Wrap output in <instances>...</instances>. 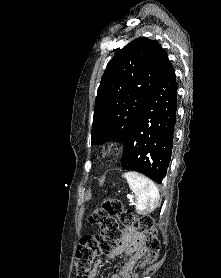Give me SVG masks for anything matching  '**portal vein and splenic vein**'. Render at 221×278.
Returning a JSON list of instances; mask_svg holds the SVG:
<instances>
[{
  "label": "portal vein and splenic vein",
  "instance_id": "obj_1",
  "mask_svg": "<svg viewBox=\"0 0 221 278\" xmlns=\"http://www.w3.org/2000/svg\"><path fill=\"white\" fill-rule=\"evenodd\" d=\"M127 198L131 199L132 197L130 195H127Z\"/></svg>",
  "mask_w": 221,
  "mask_h": 278
}]
</instances>
